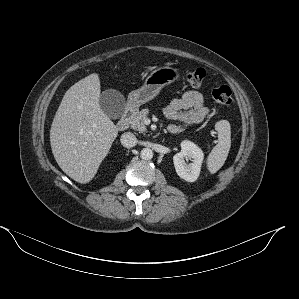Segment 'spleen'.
Segmentation results:
<instances>
[{
  "instance_id": "1",
  "label": "spleen",
  "mask_w": 299,
  "mask_h": 299,
  "mask_svg": "<svg viewBox=\"0 0 299 299\" xmlns=\"http://www.w3.org/2000/svg\"><path fill=\"white\" fill-rule=\"evenodd\" d=\"M218 133V144L212 149L207 158V168L211 174L216 173L225 163L231 147V127L227 120L215 124Z\"/></svg>"
}]
</instances>
